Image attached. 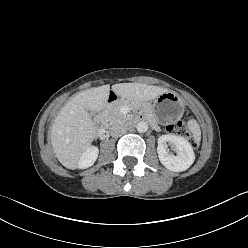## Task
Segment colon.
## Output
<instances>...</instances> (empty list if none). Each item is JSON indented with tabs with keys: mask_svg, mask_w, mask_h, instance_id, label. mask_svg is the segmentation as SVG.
Segmentation results:
<instances>
[{
	"mask_svg": "<svg viewBox=\"0 0 248 248\" xmlns=\"http://www.w3.org/2000/svg\"><path fill=\"white\" fill-rule=\"evenodd\" d=\"M167 130L172 134L184 136L188 138L193 143V145L196 146L194 138L189 133L186 123L184 121L179 120V121L173 122L167 127Z\"/></svg>",
	"mask_w": 248,
	"mask_h": 248,
	"instance_id": "colon-1",
	"label": "colon"
}]
</instances>
